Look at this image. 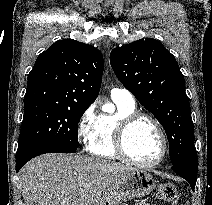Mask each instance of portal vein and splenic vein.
Listing matches in <instances>:
<instances>
[{"label":"portal vein and splenic vein","mask_w":212,"mask_h":205,"mask_svg":"<svg viewBox=\"0 0 212 205\" xmlns=\"http://www.w3.org/2000/svg\"><path fill=\"white\" fill-rule=\"evenodd\" d=\"M85 185H86V183H84V182L80 183V186H85Z\"/></svg>","instance_id":"obj_1"}]
</instances>
